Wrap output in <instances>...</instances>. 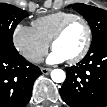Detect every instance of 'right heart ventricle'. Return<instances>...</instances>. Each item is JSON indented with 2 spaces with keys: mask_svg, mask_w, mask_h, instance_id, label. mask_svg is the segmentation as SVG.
<instances>
[{
  "mask_svg": "<svg viewBox=\"0 0 107 107\" xmlns=\"http://www.w3.org/2000/svg\"><path fill=\"white\" fill-rule=\"evenodd\" d=\"M77 16L67 11H58L35 19L32 28L46 43H50L57 29L68 19Z\"/></svg>",
  "mask_w": 107,
  "mask_h": 107,
  "instance_id": "e07e8e85",
  "label": "right heart ventricle"
}]
</instances>
